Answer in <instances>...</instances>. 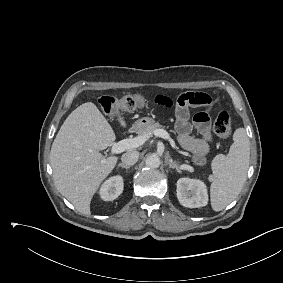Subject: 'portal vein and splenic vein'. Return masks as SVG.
Masks as SVG:
<instances>
[{
	"label": "portal vein and splenic vein",
	"mask_w": 283,
	"mask_h": 283,
	"mask_svg": "<svg viewBox=\"0 0 283 283\" xmlns=\"http://www.w3.org/2000/svg\"><path fill=\"white\" fill-rule=\"evenodd\" d=\"M154 135L157 137L166 139L169 142L173 143V140L170 137L169 133L164 129H156L154 131ZM148 138L149 137H146V136H138L135 138L124 139L119 142L113 143L112 148H111V153L119 154V153L124 152L125 150L137 148L143 145ZM185 168H189V167L187 166Z\"/></svg>",
	"instance_id": "obj_1"
}]
</instances>
